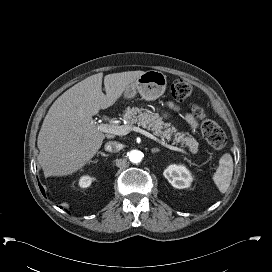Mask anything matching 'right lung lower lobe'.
<instances>
[{
	"mask_svg": "<svg viewBox=\"0 0 272 272\" xmlns=\"http://www.w3.org/2000/svg\"><path fill=\"white\" fill-rule=\"evenodd\" d=\"M40 189H41V192L43 193V195H45L44 189L42 187H40Z\"/></svg>",
	"mask_w": 272,
	"mask_h": 272,
	"instance_id": "obj_1",
	"label": "right lung lower lobe"
}]
</instances>
